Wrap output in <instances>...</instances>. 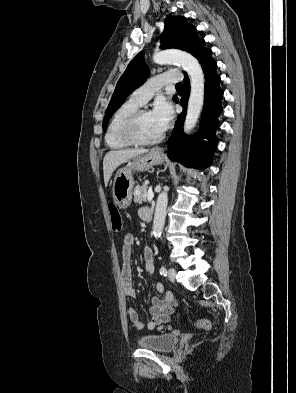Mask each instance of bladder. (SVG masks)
<instances>
[{"mask_svg":"<svg viewBox=\"0 0 296 393\" xmlns=\"http://www.w3.org/2000/svg\"><path fill=\"white\" fill-rule=\"evenodd\" d=\"M179 337L176 334L148 335L138 339L137 344L148 350L159 353H169L178 344Z\"/></svg>","mask_w":296,"mask_h":393,"instance_id":"bladder-1","label":"bladder"}]
</instances>
